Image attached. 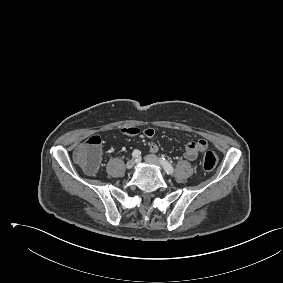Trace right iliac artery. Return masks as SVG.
Wrapping results in <instances>:
<instances>
[{"instance_id": "right-iliac-artery-1", "label": "right iliac artery", "mask_w": 283, "mask_h": 283, "mask_svg": "<svg viewBox=\"0 0 283 283\" xmlns=\"http://www.w3.org/2000/svg\"><path fill=\"white\" fill-rule=\"evenodd\" d=\"M141 156V152L137 149H135L133 152H132V157L135 158V159H139Z\"/></svg>"}]
</instances>
